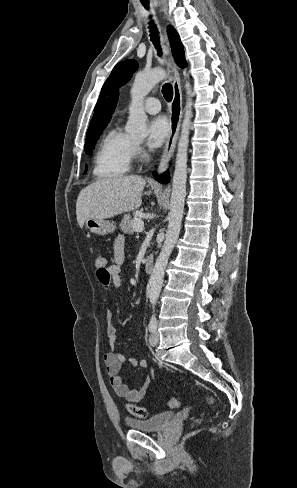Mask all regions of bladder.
<instances>
[{"mask_svg":"<svg viewBox=\"0 0 297 488\" xmlns=\"http://www.w3.org/2000/svg\"><path fill=\"white\" fill-rule=\"evenodd\" d=\"M174 417V413L170 411L155 414L147 419L126 418L125 424L130 429H135L143 432H157L169 425Z\"/></svg>","mask_w":297,"mask_h":488,"instance_id":"obj_1","label":"bladder"}]
</instances>
